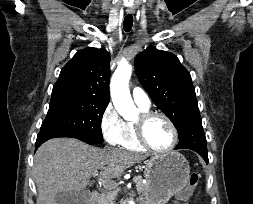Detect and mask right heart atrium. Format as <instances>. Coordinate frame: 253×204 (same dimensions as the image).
Masks as SVG:
<instances>
[{"label":"right heart atrium","mask_w":253,"mask_h":204,"mask_svg":"<svg viewBox=\"0 0 253 204\" xmlns=\"http://www.w3.org/2000/svg\"><path fill=\"white\" fill-rule=\"evenodd\" d=\"M100 130L104 140L111 145H120L126 135V122L112 104H109L102 113Z\"/></svg>","instance_id":"1"}]
</instances>
